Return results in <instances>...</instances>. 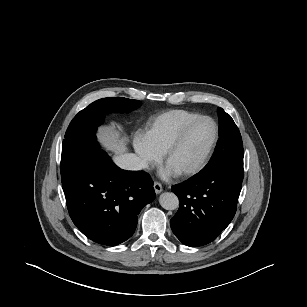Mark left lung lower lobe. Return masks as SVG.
I'll return each instance as SVG.
<instances>
[{
  "instance_id": "left-lung-lower-lobe-1",
  "label": "left lung lower lobe",
  "mask_w": 307,
  "mask_h": 307,
  "mask_svg": "<svg viewBox=\"0 0 307 307\" xmlns=\"http://www.w3.org/2000/svg\"><path fill=\"white\" fill-rule=\"evenodd\" d=\"M242 180L222 171L200 172L171 190L180 206L171 219L175 236L190 247L215 240L233 219Z\"/></svg>"
}]
</instances>
